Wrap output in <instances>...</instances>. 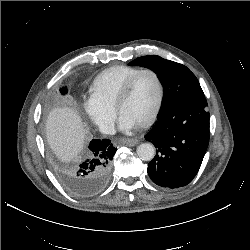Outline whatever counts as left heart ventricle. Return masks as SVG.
Instances as JSON below:
<instances>
[{
  "label": "left heart ventricle",
  "instance_id": "b2bd125f",
  "mask_svg": "<svg viewBox=\"0 0 250 250\" xmlns=\"http://www.w3.org/2000/svg\"><path fill=\"white\" fill-rule=\"evenodd\" d=\"M157 98L155 78L150 73H144L134 83L128 99L121 106L120 115L138 126L152 114Z\"/></svg>",
  "mask_w": 250,
  "mask_h": 250
}]
</instances>
